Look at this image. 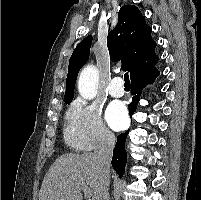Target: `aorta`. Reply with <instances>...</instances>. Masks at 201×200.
<instances>
[{
	"label": "aorta",
	"instance_id": "762f6f07",
	"mask_svg": "<svg viewBox=\"0 0 201 200\" xmlns=\"http://www.w3.org/2000/svg\"><path fill=\"white\" fill-rule=\"evenodd\" d=\"M98 80L99 73L95 66L89 65L81 71L78 80V90L84 99L91 100L95 97Z\"/></svg>",
	"mask_w": 201,
	"mask_h": 200
}]
</instances>
